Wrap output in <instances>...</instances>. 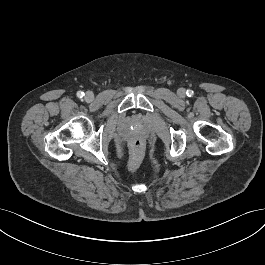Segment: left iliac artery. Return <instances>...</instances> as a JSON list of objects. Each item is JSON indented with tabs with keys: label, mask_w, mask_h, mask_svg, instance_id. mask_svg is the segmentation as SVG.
<instances>
[{
	"label": "left iliac artery",
	"mask_w": 265,
	"mask_h": 265,
	"mask_svg": "<svg viewBox=\"0 0 265 265\" xmlns=\"http://www.w3.org/2000/svg\"><path fill=\"white\" fill-rule=\"evenodd\" d=\"M186 94L191 97L193 96L194 92L192 90H187Z\"/></svg>",
	"instance_id": "44dca946"
}]
</instances>
